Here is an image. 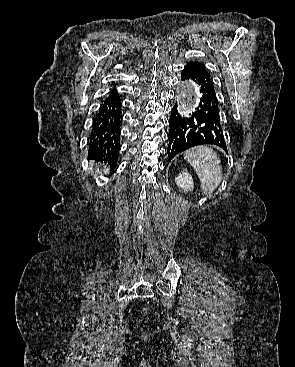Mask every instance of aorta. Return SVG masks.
<instances>
[{
	"label": "aorta",
	"instance_id": "obj_1",
	"mask_svg": "<svg viewBox=\"0 0 295 367\" xmlns=\"http://www.w3.org/2000/svg\"><path fill=\"white\" fill-rule=\"evenodd\" d=\"M200 89L194 82H189L184 86L182 96V106L185 109L194 108L200 100Z\"/></svg>",
	"mask_w": 295,
	"mask_h": 367
}]
</instances>
